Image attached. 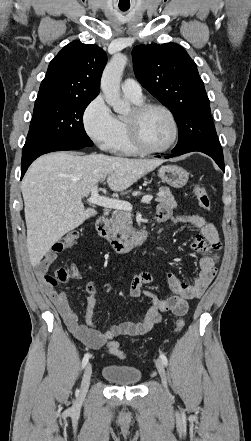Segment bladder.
<instances>
[{"label": "bladder", "mask_w": 251, "mask_h": 441, "mask_svg": "<svg viewBox=\"0 0 251 441\" xmlns=\"http://www.w3.org/2000/svg\"><path fill=\"white\" fill-rule=\"evenodd\" d=\"M102 376L105 380L120 386L138 385L142 380V372L140 369L117 364L104 366Z\"/></svg>", "instance_id": "obj_1"}]
</instances>
